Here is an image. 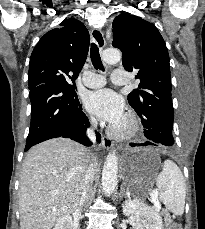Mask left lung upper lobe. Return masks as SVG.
I'll list each match as a JSON object with an SVG mask.
<instances>
[{"label":"left lung upper lobe","instance_id":"left-lung-upper-lobe-1","mask_svg":"<svg viewBox=\"0 0 205 229\" xmlns=\"http://www.w3.org/2000/svg\"><path fill=\"white\" fill-rule=\"evenodd\" d=\"M112 45L122 51L127 71L137 73L140 90L128 95V102L141 118L144 133L162 127L170 134L165 146H172L173 104L166 44L157 28L138 16L122 13L112 24Z\"/></svg>","mask_w":205,"mask_h":229}]
</instances>
